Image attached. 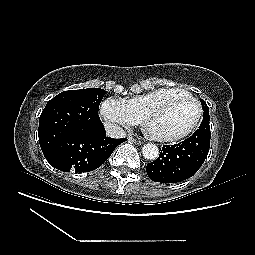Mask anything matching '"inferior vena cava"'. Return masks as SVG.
Instances as JSON below:
<instances>
[{
    "mask_svg": "<svg viewBox=\"0 0 255 255\" xmlns=\"http://www.w3.org/2000/svg\"><path fill=\"white\" fill-rule=\"evenodd\" d=\"M106 133L109 137L115 138V139H120V138L126 137V133L123 130V128H121L117 124H108L106 126Z\"/></svg>",
    "mask_w": 255,
    "mask_h": 255,
    "instance_id": "1",
    "label": "inferior vena cava"
}]
</instances>
